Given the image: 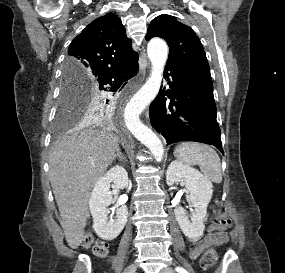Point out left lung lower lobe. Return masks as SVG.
<instances>
[{
	"mask_svg": "<svg viewBox=\"0 0 285 273\" xmlns=\"http://www.w3.org/2000/svg\"><path fill=\"white\" fill-rule=\"evenodd\" d=\"M164 77L168 79L169 89L159 93L150 104L153 128L164 136L167 144L202 142L224 154L212 81L188 76L172 63H167Z\"/></svg>",
	"mask_w": 285,
	"mask_h": 273,
	"instance_id": "obj_1",
	"label": "left lung lower lobe"
}]
</instances>
